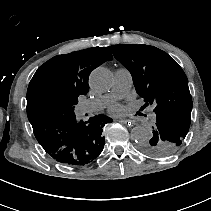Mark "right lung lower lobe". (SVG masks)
Returning <instances> with one entry per match:
<instances>
[{
	"label": "right lung lower lobe",
	"mask_w": 211,
	"mask_h": 211,
	"mask_svg": "<svg viewBox=\"0 0 211 211\" xmlns=\"http://www.w3.org/2000/svg\"><path fill=\"white\" fill-rule=\"evenodd\" d=\"M112 119L105 115L77 121L69 117L54 116L32 124L34 135L46 153L55 161L82 166L95 160L102 152L105 138L102 128Z\"/></svg>",
	"instance_id": "right-lung-lower-lobe-1"
}]
</instances>
